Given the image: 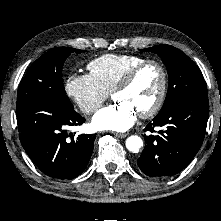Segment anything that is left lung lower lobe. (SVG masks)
<instances>
[{"instance_id":"left-lung-lower-lobe-1","label":"left lung lower lobe","mask_w":221,"mask_h":221,"mask_svg":"<svg viewBox=\"0 0 221 221\" xmlns=\"http://www.w3.org/2000/svg\"><path fill=\"white\" fill-rule=\"evenodd\" d=\"M209 116L208 96L189 98L157 115L144 131L164 127L159 135L146 138V148L137 163L150 177L173 176L194 158L204 140Z\"/></svg>"}]
</instances>
